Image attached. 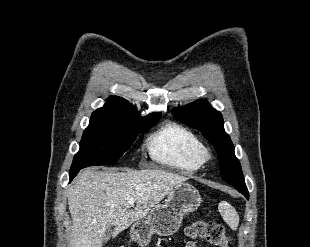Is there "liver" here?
Instances as JSON below:
<instances>
[{
	"label": "liver",
	"instance_id": "6515ba94",
	"mask_svg": "<svg viewBox=\"0 0 310 247\" xmlns=\"http://www.w3.org/2000/svg\"><path fill=\"white\" fill-rule=\"evenodd\" d=\"M188 178L160 169L80 172L68 189L72 217L70 247H102L108 228L114 235L144 219L172 190ZM136 206L128 208V199Z\"/></svg>",
	"mask_w": 310,
	"mask_h": 247
}]
</instances>
